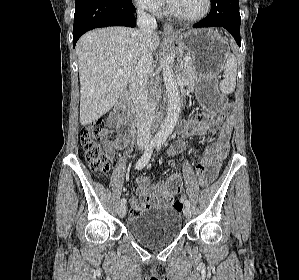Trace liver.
Segmentation results:
<instances>
[{
	"label": "liver",
	"instance_id": "obj_1",
	"mask_svg": "<svg viewBox=\"0 0 299 280\" xmlns=\"http://www.w3.org/2000/svg\"><path fill=\"white\" fill-rule=\"evenodd\" d=\"M159 43V35L153 32L152 53ZM139 47L138 31L127 27L96 29L79 39L81 125L96 121L115 105L139 60ZM119 70L124 73L117 75Z\"/></svg>",
	"mask_w": 299,
	"mask_h": 280
}]
</instances>
